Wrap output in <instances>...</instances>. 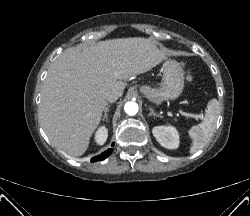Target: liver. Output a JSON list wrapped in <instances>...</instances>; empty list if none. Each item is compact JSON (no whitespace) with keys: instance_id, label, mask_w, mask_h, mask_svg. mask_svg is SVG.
<instances>
[{"instance_id":"6515ba94","label":"liver","mask_w":250,"mask_h":216,"mask_svg":"<svg viewBox=\"0 0 250 216\" xmlns=\"http://www.w3.org/2000/svg\"><path fill=\"white\" fill-rule=\"evenodd\" d=\"M165 59L164 51L141 37L66 49L48 71L39 105L40 123L50 142L70 156L84 154L107 107L105 92L123 93L124 80Z\"/></svg>"}]
</instances>
